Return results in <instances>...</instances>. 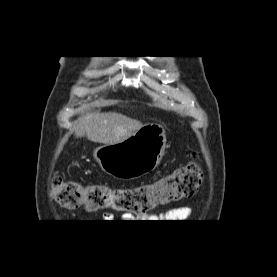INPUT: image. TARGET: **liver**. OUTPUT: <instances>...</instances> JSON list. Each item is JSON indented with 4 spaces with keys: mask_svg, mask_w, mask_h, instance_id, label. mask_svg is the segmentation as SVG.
Listing matches in <instances>:
<instances>
[{
    "mask_svg": "<svg viewBox=\"0 0 277 277\" xmlns=\"http://www.w3.org/2000/svg\"><path fill=\"white\" fill-rule=\"evenodd\" d=\"M144 125L122 114L91 112L82 115L74 127L75 137L87 136L92 142L115 144L132 136Z\"/></svg>",
    "mask_w": 277,
    "mask_h": 277,
    "instance_id": "obj_1",
    "label": "liver"
}]
</instances>
